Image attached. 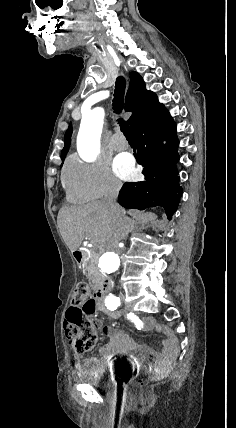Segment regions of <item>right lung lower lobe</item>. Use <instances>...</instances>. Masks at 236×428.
<instances>
[{"label": "right lung lower lobe", "instance_id": "right-lung-lower-lobe-1", "mask_svg": "<svg viewBox=\"0 0 236 428\" xmlns=\"http://www.w3.org/2000/svg\"><path fill=\"white\" fill-rule=\"evenodd\" d=\"M137 144V162L144 168L145 180L127 182L119 192L118 203L143 210L162 207L170 220L182 194L176 163L179 160L176 124L166 109L153 114L133 129ZM166 144H163V141Z\"/></svg>", "mask_w": 236, "mask_h": 428}]
</instances>
